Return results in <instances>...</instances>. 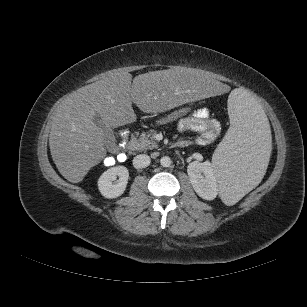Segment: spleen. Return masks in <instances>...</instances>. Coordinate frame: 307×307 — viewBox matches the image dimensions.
Masks as SVG:
<instances>
[{
    "instance_id": "1",
    "label": "spleen",
    "mask_w": 307,
    "mask_h": 307,
    "mask_svg": "<svg viewBox=\"0 0 307 307\" xmlns=\"http://www.w3.org/2000/svg\"><path fill=\"white\" fill-rule=\"evenodd\" d=\"M231 126L217 147L212 166L222 202L232 206L260 181L270 156L271 134L261 105L241 89L228 98Z\"/></svg>"
}]
</instances>
